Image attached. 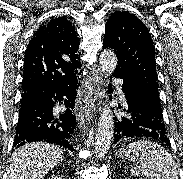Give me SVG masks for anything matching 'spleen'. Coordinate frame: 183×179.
<instances>
[{"label":"spleen","mask_w":183,"mask_h":179,"mask_svg":"<svg viewBox=\"0 0 183 179\" xmlns=\"http://www.w3.org/2000/svg\"><path fill=\"white\" fill-rule=\"evenodd\" d=\"M127 151L137 152L141 167L131 168L135 176L151 179H178V170L172 155L161 145L150 140L130 143Z\"/></svg>","instance_id":"3e777b00"}]
</instances>
